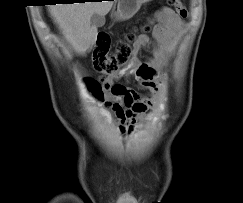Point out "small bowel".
I'll list each match as a JSON object with an SVG mask.
<instances>
[{"instance_id": "c3829d8e", "label": "small bowel", "mask_w": 243, "mask_h": 203, "mask_svg": "<svg viewBox=\"0 0 243 203\" xmlns=\"http://www.w3.org/2000/svg\"><path fill=\"white\" fill-rule=\"evenodd\" d=\"M153 39L138 35L133 44L134 56L123 71L107 74L101 78L106 93L105 105L115 114L121 132L134 129L143 117L150 114L158 96L161 83L159 73L168 65L177 38L183 33L185 23L171 9L163 8L155 16ZM148 49V60L139 57L141 51ZM134 77L139 84L151 91L155 97L141 96L136 90L118 83L121 79Z\"/></svg>"}]
</instances>
